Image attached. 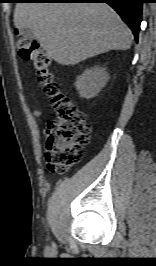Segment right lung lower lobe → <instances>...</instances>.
I'll return each instance as SVG.
<instances>
[{
    "mask_svg": "<svg viewBox=\"0 0 156 266\" xmlns=\"http://www.w3.org/2000/svg\"><path fill=\"white\" fill-rule=\"evenodd\" d=\"M35 3H107L131 28L135 40L138 39L140 29L143 0H28Z\"/></svg>",
    "mask_w": 156,
    "mask_h": 266,
    "instance_id": "98d812e1",
    "label": "right lung lower lobe"
}]
</instances>
